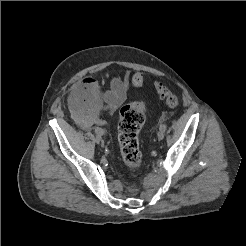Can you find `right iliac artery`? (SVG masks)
I'll return each instance as SVG.
<instances>
[{
  "mask_svg": "<svg viewBox=\"0 0 246 246\" xmlns=\"http://www.w3.org/2000/svg\"><path fill=\"white\" fill-rule=\"evenodd\" d=\"M95 133H96L97 135H103V134H104V131H103V129H101V128H95Z\"/></svg>",
  "mask_w": 246,
  "mask_h": 246,
  "instance_id": "obj_1",
  "label": "right iliac artery"
}]
</instances>
